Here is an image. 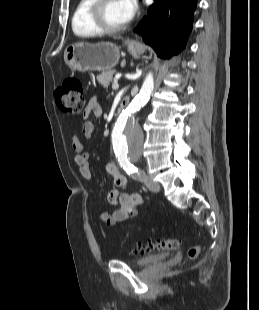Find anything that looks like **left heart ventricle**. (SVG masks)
Wrapping results in <instances>:
<instances>
[{
  "mask_svg": "<svg viewBox=\"0 0 259 310\" xmlns=\"http://www.w3.org/2000/svg\"><path fill=\"white\" fill-rule=\"evenodd\" d=\"M103 19L111 27H118L126 23L118 0H109L105 5Z\"/></svg>",
  "mask_w": 259,
  "mask_h": 310,
  "instance_id": "1",
  "label": "left heart ventricle"
}]
</instances>
